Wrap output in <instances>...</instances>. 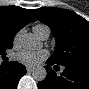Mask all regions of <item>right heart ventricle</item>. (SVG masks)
Returning a JSON list of instances; mask_svg holds the SVG:
<instances>
[{
    "label": "right heart ventricle",
    "mask_w": 89,
    "mask_h": 89,
    "mask_svg": "<svg viewBox=\"0 0 89 89\" xmlns=\"http://www.w3.org/2000/svg\"><path fill=\"white\" fill-rule=\"evenodd\" d=\"M44 27H46V26H45V25H41V24L36 25V26L34 27V31L36 32L37 30H39V29H41V28H44Z\"/></svg>",
    "instance_id": "1"
}]
</instances>
